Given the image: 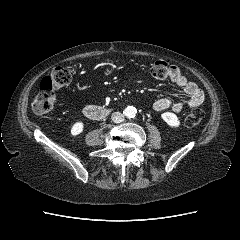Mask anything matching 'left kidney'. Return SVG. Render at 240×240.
Returning a JSON list of instances; mask_svg holds the SVG:
<instances>
[{
	"mask_svg": "<svg viewBox=\"0 0 240 240\" xmlns=\"http://www.w3.org/2000/svg\"><path fill=\"white\" fill-rule=\"evenodd\" d=\"M161 117L170 127H178L180 125V121L174 113L165 112Z\"/></svg>",
	"mask_w": 240,
	"mask_h": 240,
	"instance_id": "left-kidney-1",
	"label": "left kidney"
}]
</instances>
